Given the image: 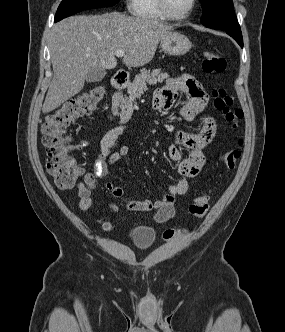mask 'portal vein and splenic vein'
Masks as SVG:
<instances>
[{"label":"portal vein and splenic vein","instance_id":"obj_1","mask_svg":"<svg viewBox=\"0 0 285 332\" xmlns=\"http://www.w3.org/2000/svg\"><path fill=\"white\" fill-rule=\"evenodd\" d=\"M115 54H116L117 57H123L125 55V51L117 50Z\"/></svg>","mask_w":285,"mask_h":332}]
</instances>
